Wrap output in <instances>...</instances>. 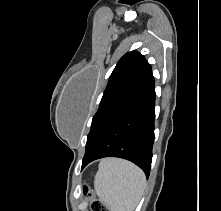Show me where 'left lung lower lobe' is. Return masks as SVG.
Returning <instances> with one entry per match:
<instances>
[{"instance_id":"left-lung-lower-lobe-1","label":"left lung lower lobe","mask_w":221,"mask_h":211,"mask_svg":"<svg viewBox=\"0 0 221 211\" xmlns=\"http://www.w3.org/2000/svg\"><path fill=\"white\" fill-rule=\"evenodd\" d=\"M155 87L151 73L139 93L117 114L83 158L82 168L103 157L127 159L149 177L154 141Z\"/></svg>"}]
</instances>
